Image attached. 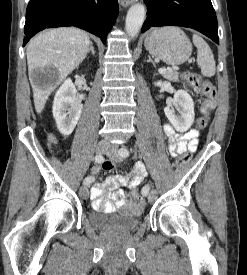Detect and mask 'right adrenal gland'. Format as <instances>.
Instances as JSON below:
<instances>
[{
  "label": "right adrenal gland",
  "instance_id": "1",
  "mask_svg": "<svg viewBox=\"0 0 247 275\" xmlns=\"http://www.w3.org/2000/svg\"><path fill=\"white\" fill-rule=\"evenodd\" d=\"M89 52H91V54H92V55H95V54H96V52H95V50H94V47H93V43H92V42L90 43Z\"/></svg>",
  "mask_w": 247,
  "mask_h": 275
}]
</instances>
